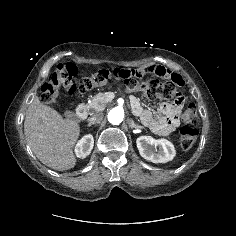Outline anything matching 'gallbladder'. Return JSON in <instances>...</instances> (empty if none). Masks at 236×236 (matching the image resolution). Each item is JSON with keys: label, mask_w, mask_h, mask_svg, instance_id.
Wrapping results in <instances>:
<instances>
[{"label": "gallbladder", "mask_w": 236, "mask_h": 236, "mask_svg": "<svg viewBox=\"0 0 236 236\" xmlns=\"http://www.w3.org/2000/svg\"><path fill=\"white\" fill-rule=\"evenodd\" d=\"M64 115H65L66 118H69V119H73L74 118L73 114L70 111H65Z\"/></svg>", "instance_id": "obj_1"}]
</instances>
